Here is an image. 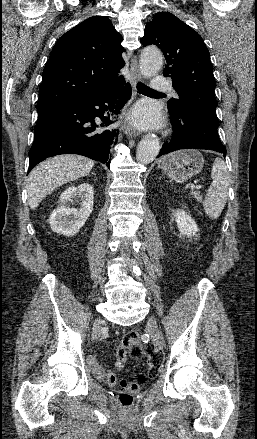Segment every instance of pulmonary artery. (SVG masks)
<instances>
[{
    "mask_svg": "<svg viewBox=\"0 0 257 439\" xmlns=\"http://www.w3.org/2000/svg\"><path fill=\"white\" fill-rule=\"evenodd\" d=\"M152 86V89L157 93L174 94L168 78L162 75H157L153 78Z\"/></svg>",
    "mask_w": 257,
    "mask_h": 439,
    "instance_id": "e3ab8cb5",
    "label": "pulmonary artery"
}]
</instances>
